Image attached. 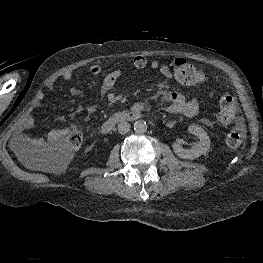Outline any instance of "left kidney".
<instances>
[{"mask_svg": "<svg viewBox=\"0 0 263 263\" xmlns=\"http://www.w3.org/2000/svg\"><path fill=\"white\" fill-rule=\"evenodd\" d=\"M188 132L195 135L199 139V142L191 149H184L179 143H174L173 150L178 157L193 160L205 154L209 150L211 142L205 130L199 125H190Z\"/></svg>", "mask_w": 263, "mask_h": 263, "instance_id": "obj_1", "label": "left kidney"}]
</instances>
